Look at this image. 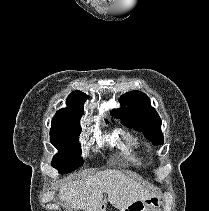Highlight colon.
Masks as SVG:
<instances>
[{
    "label": "colon",
    "mask_w": 209,
    "mask_h": 211,
    "mask_svg": "<svg viewBox=\"0 0 209 211\" xmlns=\"http://www.w3.org/2000/svg\"><path fill=\"white\" fill-rule=\"evenodd\" d=\"M150 201H135L128 208L123 211H142L145 207V203H149Z\"/></svg>",
    "instance_id": "colon-1"
}]
</instances>
